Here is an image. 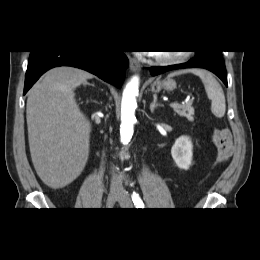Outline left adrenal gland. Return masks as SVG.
I'll return each mask as SVG.
<instances>
[{
    "mask_svg": "<svg viewBox=\"0 0 260 260\" xmlns=\"http://www.w3.org/2000/svg\"><path fill=\"white\" fill-rule=\"evenodd\" d=\"M162 105L157 103V95H153V102L150 104V111L151 113H154V110L157 108V107H161Z\"/></svg>",
    "mask_w": 260,
    "mask_h": 260,
    "instance_id": "1",
    "label": "left adrenal gland"
}]
</instances>
